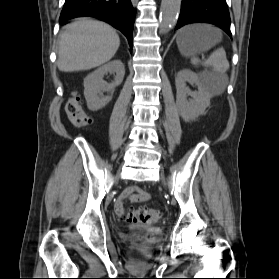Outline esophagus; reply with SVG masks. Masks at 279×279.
Here are the masks:
<instances>
[{"label": "esophagus", "mask_w": 279, "mask_h": 279, "mask_svg": "<svg viewBox=\"0 0 279 279\" xmlns=\"http://www.w3.org/2000/svg\"><path fill=\"white\" fill-rule=\"evenodd\" d=\"M138 0H132V3H137Z\"/></svg>", "instance_id": "1"}]
</instances>
